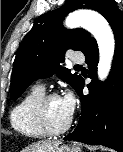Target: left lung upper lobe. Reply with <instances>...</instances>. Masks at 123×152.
Segmentation results:
<instances>
[{
	"mask_svg": "<svg viewBox=\"0 0 123 152\" xmlns=\"http://www.w3.org/2000/svg\"><path fill=\"white\" fill-rule=\"evenodd\" d=\"M89 8L98 11L105 18L117 10L115 0H67L59 9L41 15L27 33L16 55L11 78L10 95L17 99L26 88L38 78L54 74L71 85L75 90L81 76L61 68L67 49L83 53L95 41L82 28L67 30L62 19L71 11Z\"/></svg>",
	"mask_w": 123,
	"mask_h": 152,
	"instance_id": "obj_1",
	"label": "left lung upper lobe"
}]
</instances>
